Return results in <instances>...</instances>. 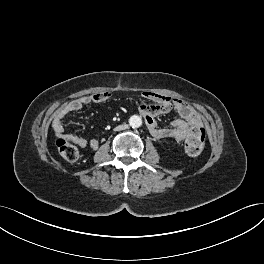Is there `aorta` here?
<instances>
[{
    "instance_id": "aorta-1",
    "label": "aorta",
    "mask_w": 264,
    "mask_h": 264,
    "mask_svg": "<svg viewBox=\"0 0 264 264\" xmlns=\"http://www.w3.org/2000/svg\"><path fill=\"white\" fill-rule=\"evenodd\" d=\"M129 125L133 128H138L142 125V119L141 117L137 115H133L129 119Z\"/></svg>"
}]
</instances>
